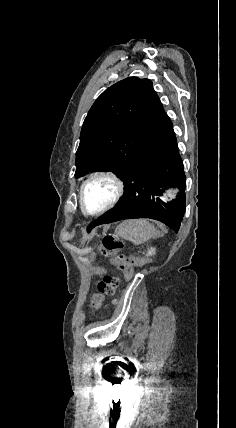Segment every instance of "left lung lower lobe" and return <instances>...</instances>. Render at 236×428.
<instances>
[{
	"label": "left lung lower lobe",
	"mask_w": 236,
	"mask_h": 428,
	"mask_svg": "<svg viewBox=\"0 0 236 428\" xmlns=\"http://www.w3.org/2000/svg\"><path fill=\"white\" fill-rule=\"evenodd\" d=\"M124 194L120 202L87 227L124 219L151 218L178 232L186 208V176L172 122L164 113L148 131L122 175ZM179 188L169 204L158 196Z\"/></svg>",
	"instance_id": "left-lung-lower-lobe-1"
}]
</instances>
